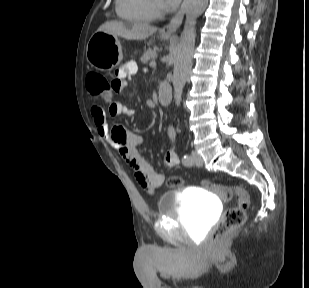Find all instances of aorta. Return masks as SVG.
Listing matches in <instances>:
<instances>
[{"mask_svg":"<svg viewBox=\"0 0 309 288\" xmlns=\"http://www.w3.org/2000/svg\"><path fill=\"white\" fill-rule=\"evenodd\" d=\"M207 5L208 0H185L184 2L186 21L176 47L173 69L174 99L177 106L181 103L183 87L192 62L196 20Z\"/></svg>","mask_w":309,"mask_h":288,"instance_id":"1","label":"aorta"}]
</instances>
